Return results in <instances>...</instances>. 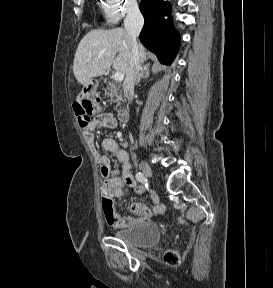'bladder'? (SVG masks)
Returning a JSON list of instances; mask_svg holds the SVG:
<instances>
[{"mask_svg": "<svg viewBox=\"0 0 273 288\" xmlns=\"http://www.w3.org/2000/svg\"><path fill=\"white\" fill-rule=\"evenodd\" d=\"M113 237L134 248H152L161 240V231L154 222L135 224L118 230Z\"/></svg>", "mask_w": 273, "mask_h": 288, "instance_id": "31cf9c89", "label": "bladder"}]
</instances>
